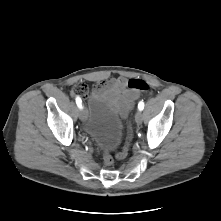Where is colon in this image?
Segmentation results:
<instances>
[{
    "instance_id": "1",
    "label": "colon",
    "mask_w": 221,
    "mask_h": 221,
    "mask_svg": "<svg viewBox=\"0 0 221 221\" xmlns=\"http://www.w3.org/2000/svg\"><path fill=\"white\" fill-rule=\"evenodd\" d=\"M128 87L135 92H143L149 89V84L144 79H130L128 81ZM73 93L77 95L80 99H85L88 93V87L84 83L78 84ZM131 136L130 134L127 136L125 144L123 148L115 154V158L123 159L127 156L129 147H130ZM103 162L105 165H112L114 163V157L109 152H104L103 154Z\"/></svg>"
}]
</instances>
